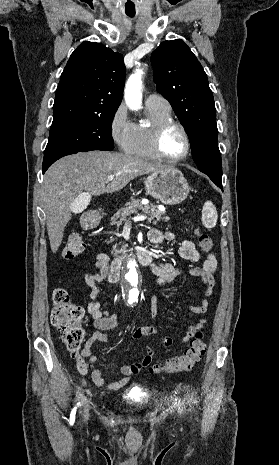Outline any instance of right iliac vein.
Masks as SVG:
<instances>
[{"label":"right iliac vein","instance_id":"63e3f726","mask_svg":"<svg viewBox=\"0 0 279 465\" xmlns=\"http://www.w3.org/2000/svg\"><path fill=\"white\" fill-rule=\"evenodd\" d=\"M85 418L87 419L88 418V412L86 411L85 413Z\"/></svg>","mask_w":279,"mask_h":465}]
</instances>
